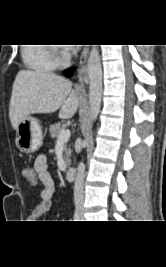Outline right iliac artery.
Returning <instances> with one entry per match:
<instances>
[{"instance_id":"82829eb1","label":"right iliac artery","mask_w":166,"mask_h":267,"mask_svg":"<svg viewBox=\"0 0 166 267\" xmlns=\"http://www.w3.org/2000/svg\"><path fill=\"white\" fill-rule=\"evenodd\" d=\"M74 221H80V220H79V214H78L77 211H76L75 214H74Z\"/></svg>"}]
</instances>
